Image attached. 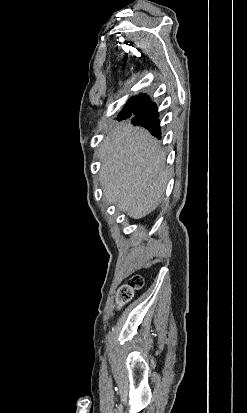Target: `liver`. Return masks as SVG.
I'll use <instances>...</instances> for the list:
<instances>
[{"label": "liver", "instance_id": "obj_1", "mask_svg": "<svg viewBox=\"0 0 247 413\" xmlns=\"http://www.w3.org/2000/svg\"><path fill=\"white\" fill-rule=\"evenodd\" d=\"M165 156L149 130L118 122L104 138L99 154V180L106 200L132 219L155 211L167 186Z\"/></svg>", "mask_w": 247, "mask_h": 413}]
</instances>
